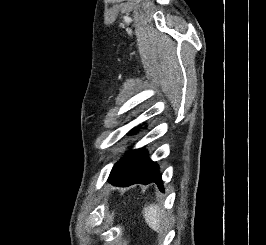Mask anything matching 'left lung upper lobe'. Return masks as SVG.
<instances>
[{"instance_id": "left-lung-upper-lobe-1", "label": "left lung upper lobe", "mask_w": 266, "mask_h": 245, "mask_svg": "<svg viewBox=\"0 0 266 245\" xmlns=\"http://www.w3.org/2000/svg\"><path fill=\"white\" fill-rule=\"evenodd\" d=\"M138 150L130 151L124 155L113 167L109 177L126 174L136 161Z\"/></svg>"}]
</instances>
